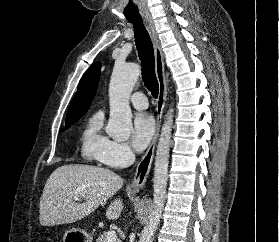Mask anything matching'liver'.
<instances>
[{
  "label": "liver",
  "instance_id": "obj_1",
  "mask_svg": "<svg viewBox=\"0 0 279 242\" xmlns=\"http://www.w3.org/2000/svg\"><path fill=\"white\" fill-rule=\"evenodd\" d=\"M123 178L102 167L69 164L58 167L47 179L39 205L43 226L73 223L104 205L122 186ZM74 196L83 202H75ZM123 210L121 198L114 199L106 210L109 220Z\"/></svg>",
  "mask_w": 279,
  "mask_h": 242
}]
</instances>
